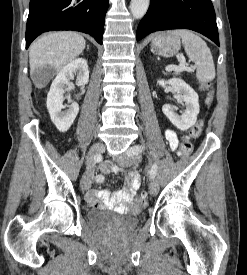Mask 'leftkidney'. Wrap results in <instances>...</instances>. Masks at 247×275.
Segmentation results:
<instances>
[{"label": "left kidney", "instance_id": "obj_1", "mask_svg": "<svg viewBox=\"0 0 247 275\" xmlns=\"http://www.w3.org/2000/svg\"><path fill=\"white\" fill-rule=\"evenodd\" d=\"M157 84L163 87L170 85L184 102L185 110L181 115L176 113V110L171 105H163L162 111L165 116L180 130L184 131L193 126L199 113L198 94L185 81L179 78H172L168 81L160 80Z\"/></svg>", "mask_w": 247, "mask_h": 275}]
</instances>
